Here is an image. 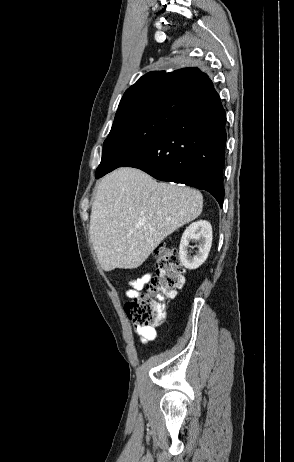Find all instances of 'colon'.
Listing matches in <instances>:
<instances>
[{
    "label": "colon",
    "mask_w": 294,
    "mask_h": 462,
    "mask_svg": "<svg viewBox=\"0 0 294 462\" xmlns=\"http://www.w3.org/2000/svg\"><path fill=\"white\" fill-rule=\"evenodd\" d=\"M156 274L147 290L125 304L130 319L137 325L161 323L166 317L164 298H173L184 284V269L179 252L169 244H160L153 252Z\"/></svg>",
    "instance_id": "obj_1"
}]
</instances>
